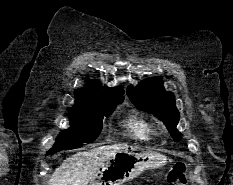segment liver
Returning <instances> with one entry per match:
<instances>
[{"label": "liver", "mask_w": 233, "mask_h": 185, "mask_svg": "<svg viewBox=\"0 0 233 185\" xmlns=\"http://www.w3.org/2000/svg\"><path fill=\"white\" fill-rule=\"evenodd\" d=\"M126 144L99 146L67 158L49 179L48 185H88L98 170Z\"/></svg>", "instance_id": "1"}]
</instances>
